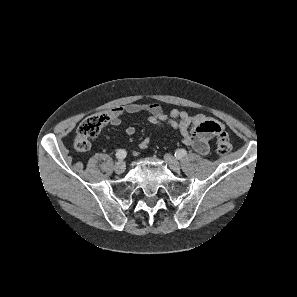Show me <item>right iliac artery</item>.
<instances>
[{"label":"right iliac artery","mask_w":297,"mask_h":297,"mask_svg":"<svg viewBox=\"0 0 297 297\" xmlns=\"http://www.w3.org/2000/svg\"><path fill=\"white\" fill-rule=\"evenodd\" d=\"M127 153L124 149H119L117 152H116V157L120 160L124 159L126 157Z\"/></svg>","instance_id":"1"}]
</instances>
